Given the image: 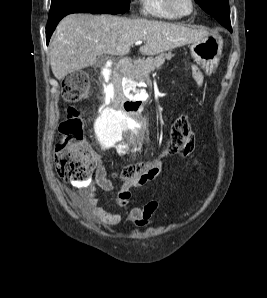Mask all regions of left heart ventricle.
I'll return each instance as SVG.
<instances>
[{"label": "left heart ventricle", "instance_id": "left-heart-ventricle-1", "mask_svg": "<svg viewBox=\"0 0 267 298\" xmlns=\"http://www.w3.org/2000/svg\"><path fill=\"white\" fill-rule=\"evenodd\" d=\"M175 8L180 13H188L191 9V4L189 0H173Z\"/></svg>", "mask_w": 267, "mask_h": 298}]
</instances>
